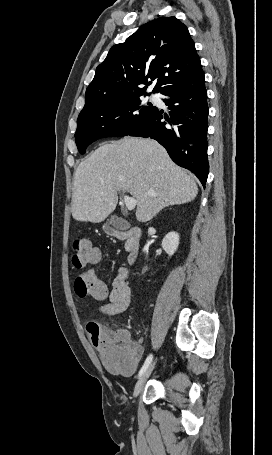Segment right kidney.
Instances as JSON below:
<instances>
[{"mask_svg": "<svg viewBox=\"0 0 272 455\" xmlns=\"http://www.w3.org/2000/svg\"><path fill=\"white\" fill-rule=\"evenodd\" d=\"M179 245V235L176 232H169L162 240V248L169 255L172 256Z\"/></svg>", "mask_w": 272, "mask_h": 455, "instance_id": "1", "label": "right kidney"}]
</instances>
